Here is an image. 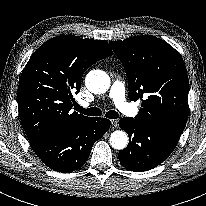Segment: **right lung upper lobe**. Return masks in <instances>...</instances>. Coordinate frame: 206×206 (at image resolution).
<instances>
[{
  "mask_svg": "<svg viewBox=\"0 0 206 206\" xmlns=\"http://www.w3.org/2000/svg\"><path fill=\"white\" fill-rule=\"evenodd\" d=\"M104 40L73 35L52 38L31 56L22 71L18 110L29 141L69 131L90 117L71 111L85 70L111 56Z\"/></svg>",
  "mask_w": 206,
  "mask_h": 206,
  "instance_id": "obj_1",
  "label": "right lung upper lobe"
}]
</instances>
